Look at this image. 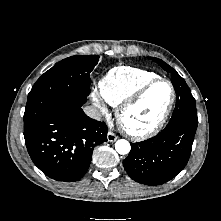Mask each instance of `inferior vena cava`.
Masks as SVG:
<instances>
[{
	"label": "inferior vena cava",
	"instance_id": "obj_1",
	"mask_svg": "<svg viewBox=\"0 0 221 221\" xmlns=\"http://www.w3.org/2000/svg\"><path fill=\"white\" fill-rule=\"evenodd\" d=\"M84 111L87 115H89L90 117L94 118V119H101V114L98 112V110L94 107L91 106H87L84 108Z\"/></svg>",
	"mask_w": 221,
	"mask_h": 221
}]
</instances>
